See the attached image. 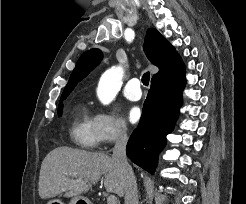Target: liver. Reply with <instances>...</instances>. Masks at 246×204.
<instances>
[{
	"instance_id": "liver-1",
	"label": "liver",
	"mask_w": 246,
	"mask_h": 204,
	"mask_svg": "<svg viewBox=\"0 0 246 204\" xmlns=\"http://www.w3.org/2000/svg\"><path fill=\"white\" fill-rule=\"evenodd\" d=\"M103 175L106 191L122 197L125 174L116 160L104 153L57 147L42 162L39 196L47 199L66 192L65 197H78L98 183Z\"/></svg>"
}]
</instances>
